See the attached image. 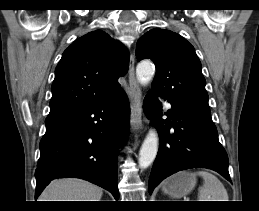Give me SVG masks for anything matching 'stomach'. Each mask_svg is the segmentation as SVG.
<instances>
[{"mask_svg": "<svg viewBox=\"0 0 259 211\" xmlns=\"http://www.w3.org/2000/svg\"><path fill=\"white\" fill-rule=\"evenodd\" d=\"M195 185L196 177L194 175L180 172L167 179L162 185V190L173 198H180L189 194Z\"/></svg>", "mask_w": 259, "mask_h": 211, "instance_id": "1", "label": "stomach"}]
</instances>
